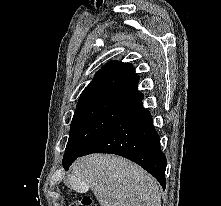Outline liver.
Wrapping results in <instances>:
<instances>
[{
  "label": "liver",
  "instance_id": "obj_1",
  "mask_svg": "<svg viewBox=\"0 0 221 206\" xmlns=\"http://www.w3.org/2000/svg\"><path fill=\"white\" fill-rule=\"evenodd\" d=\"M64 183L80 193L91 189L101 206H161L157 181L138 165L115 155L78 159Z\"/></svg>",
  "mask_w": 221,
  "mask_h": 206
}]
</instances>
